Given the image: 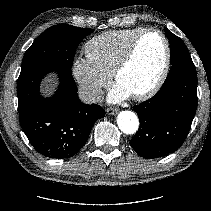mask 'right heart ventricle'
<instances>
[{"mask_svg":"<svg viewBox=\"0 0 211 211\" xmlns=\"http://www.w3.org/2000/svg\"><path fill=\"white\" fill-rule=\"evenodd\" d=\"M144 28L113 30L91 38L85 45L87 55L105 73L113 70L127 51L134 37Z\"/></svg>","mask_w":211,"mask_h":211,"instance_id":"obj_1","label":"right heart ventricle"}]
</instances>
